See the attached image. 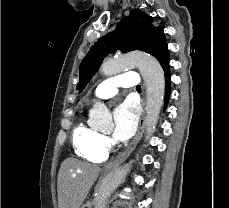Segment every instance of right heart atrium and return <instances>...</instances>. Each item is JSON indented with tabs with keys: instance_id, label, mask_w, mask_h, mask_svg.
<instances>
[{
	"instance_id": "right-heart-atrium-1",
	"label": "right heart atrium",
	"mask_w": 229,
	"mask_h": 208,
	"mask_svg": "<svg viewBox=\"0 0 229 208\" xmlns=\"http://www.w3.org/2000/svg\"><path fill=\"white\" fill-rule=\"evenodd\" d=\"M112 146H113V143L109 137L105 135L100 136L99 148L101 151H103L104 153H107L111 150Z\"/></svg>"
}]
</instances>
